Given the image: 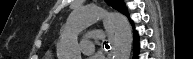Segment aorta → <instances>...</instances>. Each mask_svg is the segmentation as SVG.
Returning a JSON list of instances; mask_svg holds the SVG:
<instances>
[{
  "mask_svg": "<svg viewBox=\"0 0 193 59\" xmlns=\"http://www.w3.org/2000/svg\"><path fill=\"white\" fill-rule=\"evenodd\" d=\"M104 16H108L115 34L113 57L129 59L133 38L127 18L117 12L107 14L104 9L93 4L75 9L70 14L58 43V56L63 59H81L78 34Z\"/></svg>",
  "mask_w": 193,
  "mask_h": 59,
  "instance_id": "1",
  "label": "aorta"
}]
</instances>
